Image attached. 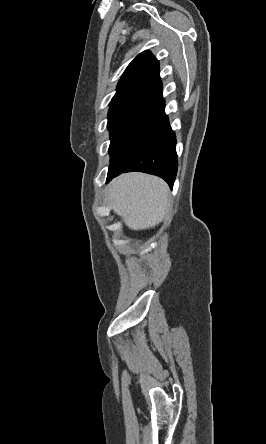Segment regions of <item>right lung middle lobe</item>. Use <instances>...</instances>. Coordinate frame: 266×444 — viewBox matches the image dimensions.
<instances>
[{
    "instance_id": "obj_1",
    "label": "right lung middle lobe",
    "mask_w": 266,
    "mask_h": 444,
    "mask_svg": "<svg viewBox=\"0 0 266 444\" xmlns=\"http://www.w3.org/2000/svg\"><path fill=\"white\" fill-rule=\"evenodd\" d=\"M164 110V101L134 96L110 103L107 127L110 131V157L115 156Z\"/></svg>"
}]
</instances>
